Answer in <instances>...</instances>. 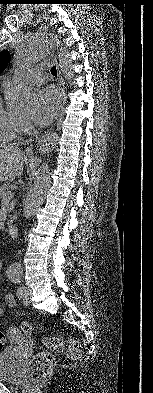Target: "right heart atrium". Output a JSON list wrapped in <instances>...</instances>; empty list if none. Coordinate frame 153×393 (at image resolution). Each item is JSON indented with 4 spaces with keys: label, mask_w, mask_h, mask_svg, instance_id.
Returning a JSON list of instances; mask_svg holds the SVG:
<instances>
[{
    "label": "right heart atrium",
    "mask_w": 153,
    "mask_h": 393,
    "mask_svg": "<svg viewBox=\"0 0 153 393\" xmlns=\"http://www.w3.org/2000/svg\"><path fill=\"white\" fill-rule=\"evenodd\" d=\"M21 124H22V132L28 133L32 130L31 124L28 121L22 120Z\"/></svg>",
    "instance_id": "obj_1"
}]
</instances>
